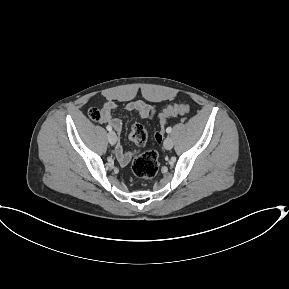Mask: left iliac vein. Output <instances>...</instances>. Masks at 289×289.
Returning a JSON list of instances; mask_svg holds the SVG:
<instances>
[{"label": "left iliac vein", "instance_id": "4c4485c4", "mask_svg": "<svg viewBox=\"0 0 289 289\" xmlns=\"http://www.w3.org/2000/svg\"><path fill=\"white\" fill-rule=\"evenodd\" d=\"M164 147H165V149H167V150L172 149V147H173V140H172L171 137H167V138L164 140Z\"/></svg>", "mask_w": 289, "mask_h": 289}]
</instances>
